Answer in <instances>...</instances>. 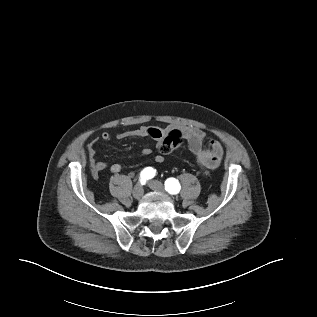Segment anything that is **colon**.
I'll list each match as a JSON object with an SVG mask.
<instances>
[{
    "instance_id": "1",
    "label": "colon",
    "mask_w": 317,
    "mask_h": 317,
    "mask_svg": "<svg viewBox=\"0 0 317 317\" xmlns=\"http://www.w3.org/2000/svg\"><path fill=\"white\" fill-rule=\"evenodd\" d=\"M184 136L178 129L170 130L163 136L159 150L163 154H169L179 149L183 144Z\"/></svg>"
}]
</instances>
